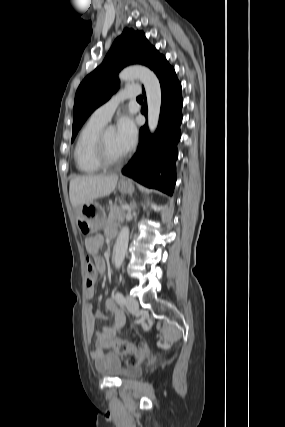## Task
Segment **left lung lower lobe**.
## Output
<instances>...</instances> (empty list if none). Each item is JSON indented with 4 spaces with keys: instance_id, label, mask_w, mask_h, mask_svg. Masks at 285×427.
<instances>
[{
    "instance_id": "0a47b994",
    "label": "left lung lower lobe",
    "mask_w": 285,
    "mask_h": 427,
    "mask_svg": "<svg viewBox=\"0 0 285 427\" xmlns=\"http://www.w3.org/2000/svg\"><path fill=\"white\" fill-rule=\"evenodd\" d=\"M153 71L159 78L162 92L159 125L153 136L147 124L141 127L138 152L122 173L147 187L172 195L176 182L177 143L181 136V84L165 57ZM141 112L147 115L146 100Z\"/></svg>"
}]
</instances>
